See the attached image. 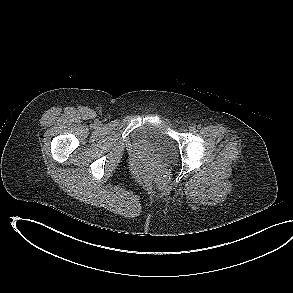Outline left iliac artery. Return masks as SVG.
Returning a JSON list of instances; mask_svg holds the SVG:
<instances>
[{"label": "left iliac artery", "instance_id": "44dca946", "mask_svg": "<svg viewBox=\"0 0 293 293\" xmlns=\"http://www.w3.org/2000/svg\"><path fill=\"white\" fill-rule=\"evenodd\" d=\"M197 129H201V125L199 124V125H197Z\"/></svg>", "mask_w": 293, "mask_h": 293}]
</instances>
